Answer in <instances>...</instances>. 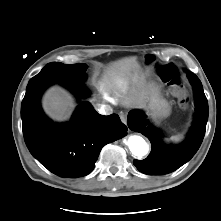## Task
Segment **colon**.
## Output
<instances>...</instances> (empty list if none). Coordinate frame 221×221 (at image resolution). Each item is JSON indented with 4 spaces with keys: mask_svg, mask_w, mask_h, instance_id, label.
Returning a JSON list of instances; mask_svg holds the SVG:
<instances>
[{
    "mask_svg": "<svg viewBox=\"0 0 221 221\" xmlns=\"http://www.w3.org/2000/svg\"><path fill=\"white\" fill-rule=\"evenodd\" d=\"M151 61V59H149ZM158 74L165 82L169 83L170 85H175L179 81V71L176 67L171 65H158L157 66ZM179 97V104L182 109H186L189 104L188 97L182 93H178Z\"/></svg>",
    "mask_w": 221,
    "mask_h": 221,
    "instance_id": "5ec220e1",
    "label": "colon"
}]
</instances>
